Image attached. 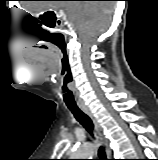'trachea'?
Returning a JSON list of instances; mask_svg holds the SVG:
<instances>
[{
    "label": "trachea",
    "instance_id": "3493384b",
    "mask_svg": "<svg viewBox=\"0 0 158 160\" xmlns=\"http://www.w3.org/2000/svg\"><path fill=\"white\" fill-rule=\"evenodd\" d=\"M76 120L93 136V123L91 119L77 106L67 105ZM99 160H108L106 158L105 149L101 146L98 150Z\"/></svg>",
    "mask_w": 158,
    "mask_h": 160
}]
</instances>
